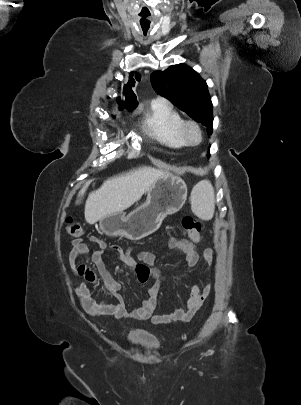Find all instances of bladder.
Masks as SVG:
<instances>
[{
    "mask_svg": "<svg viewBox=\"0 0 301 405\" xmlns=\"http://www.w3.org/2000/svg\"><path fill=\"white\" fill-rule=\"evenodd\" d=\"M128 341L133 345H140L150 348L158 346L157 338L145 330H132L128 333Z\"/></svg>",
    "mask_w": 301,
    "mask_h": 405,
    "instance_id": "bladder-1",
    "label": "bladder"
}]
</instances>
